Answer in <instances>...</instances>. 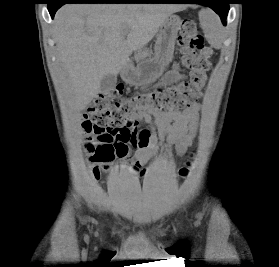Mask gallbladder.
I'll return each mask as SVG.
<instances>
[{"instance_id":"gallbladder-1","label":"gallbladder","mask_w":279,"mask_h":267,"mask_svg":"<svg viewBox=\"0 0 279 267\" xmlns=\"http://www.w3.org/2000/svg\"><path fill=\"white\" fill-rule=\"evenodd\" d=\"M117 82L116 75L114 74H107L105 75L100 82V91L101 92H108L115 88Z\"/></svg>"}]
</instances>
